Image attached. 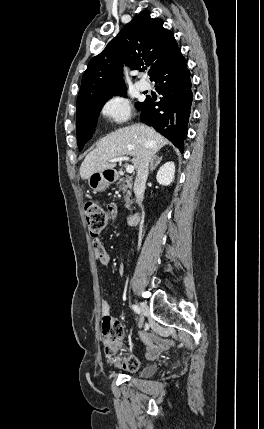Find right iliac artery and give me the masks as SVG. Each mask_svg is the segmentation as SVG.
I'll return each mask as SVG.
<instances>
[{
	"mask_svg": "<svg viewBox=\"0 0 264 429\" xmlns=\"http://www.w3.org/2000/svg\"><path fill=\"white\" fill-rule=\"evenodd\" d=\"M132 309L138 314L141 312L140 308L137 305H132Z\"/></svg>",
	"mask_w": 264,
	"mask_h": 429,
	"instance_id": "82829eb1",
	"label": "right iliac artery"
}]
</instances>
